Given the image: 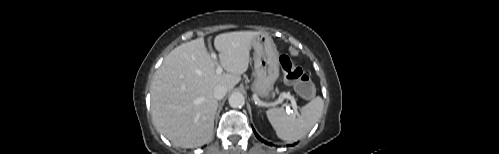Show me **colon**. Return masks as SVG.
<instances>
[{
	"label": "colon",
	"mask_w": 499,
	"mask_h": 154,
	"mask_svg": "<svg viewBox=\"0 0 499 154\" xmlns=\"http://www.w3.org/2000/svg\"><path fill=\"white\" fill-rule=\"evenodd\" d=\"M279 61L286 80L294 85L303 97L313 98L316 88L305 72L287 55H282Z\"/></svg>",
	"instance_id": "5ec220e1"
}]
</instances>
